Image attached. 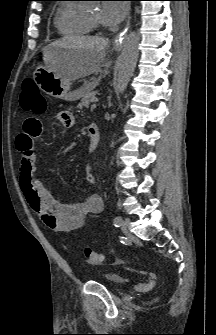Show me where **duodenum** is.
Returning <instances> with one entry per match:
<instances>
[{
  "label": "duodenum",
  "mask_w": 216,
  "mask_h": 335,
  "mask_svg": "<svg viewBox=\"0 0 216 335\" xmlns=\"http://www.w3.org/2000/svg\"><path fill=\"white\" fill-rule=\"evenodd\" d=\"M89 136L92 141H99V130L95 123L89 125L88 128Z\"/></svg>",
  "instance_id": "1"
}]
</instances>
